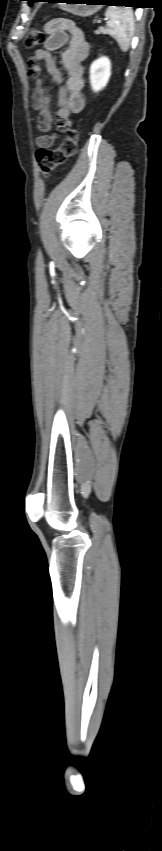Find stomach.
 <instances>
[{
  "instance_id": "obj_1",
  "label": "stomach",
  "mask_w": 162,
  "mask_h": 851,
  "mask_svg": "<svg viewBox=\"0 0 162 851\" xmlns=\"http://www.w3.org/2000/svg\"><path fill=\"white\" fill-rule=\"evenodd\" d=\"M56 2H64L59 3V7L63 10H66L70 13H73L78 16L86 17L94 14L100 9L101 0H57Z\"/></svg>"
}]
</instances>
